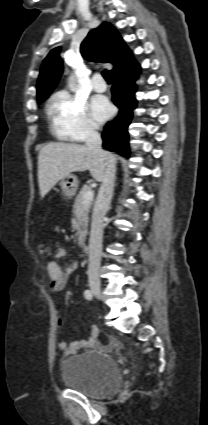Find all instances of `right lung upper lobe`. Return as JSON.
<instances>
[{
  "label": "right lung upper lobe",
  "mask_w": 208,
  "mask_h": 425,
  "mask_svg": "<svg viewBox=\"0 0 208 425\" xmlns=\"http://www.w3.org/2000/svg\"><path fill=\"white\" fill-rule=\"evenodd\" d=\"M60 48H54L44 59L37 82V101L48 98L56 87L63 71ZM81 54L90 61L108 62L114 65L111 75L121 72L134 63L135 59L118 31L108 22L92 29L81 44Z\"/></svg>",
  "instance_id": "cb5924a9"
}]
</instances>
